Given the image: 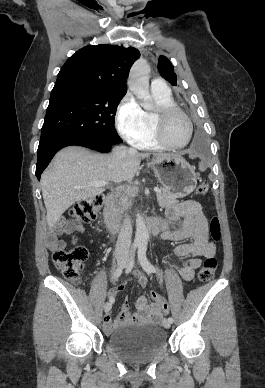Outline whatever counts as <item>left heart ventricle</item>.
Returning a JSON list of instances; mask_svg holds the SVG:
<instances>
[{
  "instance_id": "left-heart-ventricle-1",
  "label": "left heart ventricle",
  "mask_w": 265,
  "mask_h": 388,
  "mask_svg": "<svg viewBox=\"0 0 265 388\" xmlns=\"http://www.w3.org/2000/svg\"><path fill=\"white\" fill-rule=\"evenodd\" d=\"M161 127L167 142L172 145L184 143L186 139V125L183 117L179 113L171 112L162 116Z\"/></svg>"
}]
</instances>
